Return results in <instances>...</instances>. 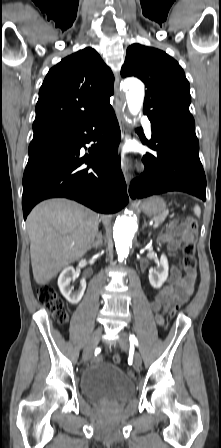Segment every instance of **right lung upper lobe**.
Wrapping results in <instances>:
<instances>
[{"label": "right lung upper lobe", "mask_w": 221, "mask_h": 448, "mask_svg": "<svg viewBox=\"0 0 221 448\" xmlns=\"http://www.w3.org/2000/svg\"><path fill=\"white\" fill-rule=\"evenodd\" d=\"M114 77L96 50L87 47L51 68L39 90L33 140L82 121L110 105Z\"/></svg>", "instance_id": "right-lung-upper-lobe-1"}]
</instances>
